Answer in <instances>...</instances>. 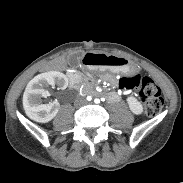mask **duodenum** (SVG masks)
Here are the masks:
<instances>
[{
	"label": "duodenum",
	"instance_id": "410a0bca",
	"mask_svg": "<svg viewBox=\"0 0 183 183\" xmlns=\"http://www.w3.org/2000/svg\"><path fill=\"white\" fill-rule=\"evenodd\" d=\"M68 77H69L70 87L74 88L77 85L78 81H79V76L76 75V74L71 73V74L68 75Z\"/></svg>",
	"mask_w": 183,
	"mask_h": 183
}]
</instances>
